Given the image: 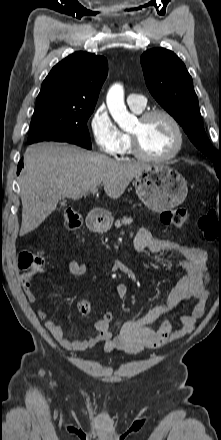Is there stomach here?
<instances>
[{
	"label": "stomach",
	"mask_w": 221,
	"mask_h": 440,
	"mask_svg": "<svg viewBox=\"0 0 221 440\" xmlns=\"http://www.w3.org/2000/svg\"><path fill=\"white\" fill-rule=\"evenodd\" d=\"M134 185L139 199L154 212L180 205L188 193L185 178L167 165H150L136 175Z\"/></svg>",
	"instance_id": "stomach-1"
}]
</instances>
